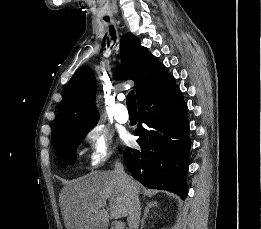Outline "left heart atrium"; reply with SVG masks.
<instances>
[{
	"mask_svg": "<svg viewBox=\"0 0 261 229\" xmlns=\"http://www.w3.org/2000/svg\"><path fill=\"white\" fill-rule=\"evenodd\" d=\"M131 137L129 135H127V139L129 140Z\"/></svg>",
	"mask_w": 261,
	"mask_h": 229,
	"instance_id": "left-heart-atrium-1",
	"label": "left heart atrium"
}]
</instances>
